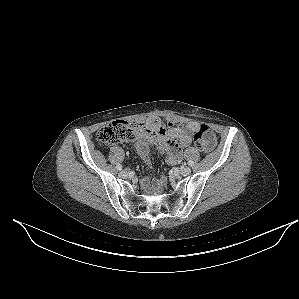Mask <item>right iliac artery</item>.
Wrapping results in <instances>:
<instances>
[{"mask_svg":"<svg viewBox=\"0 0 299 299\" xmlns=\"http://www.w3.org/2000/svg\"><path fill=\"white\" fill-rule=\"evenodd\" d=\"M116 168H117V170H122V165L118 164V165L116 166Z\"/></svg>","mask_w":299,"mask_h":299,"instance_id":"1","label":"right iliac artery"}]
</instances>
